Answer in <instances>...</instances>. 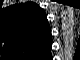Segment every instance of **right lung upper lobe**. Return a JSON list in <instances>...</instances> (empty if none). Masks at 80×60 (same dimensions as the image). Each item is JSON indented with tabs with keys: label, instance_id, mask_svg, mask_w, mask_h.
I'll return each instance as SVG.
<instances>
[{
	"label": "right lung upper lobe",
	"instance_id": "1",
	"mask_svg": "<svg viewBox=\"0 0 80 60\" xmlns=\"http://www.w3.org/2000/svg\"><path fill=\"white\" fill-rule=\"evenodd\" d=\"M0 40L19 56L44 51L50 44V27L39 5L28 2L2 11Z\"/></svg>",
	"mask_w": 80,
	"mask_h": 60
}]
</instances>
